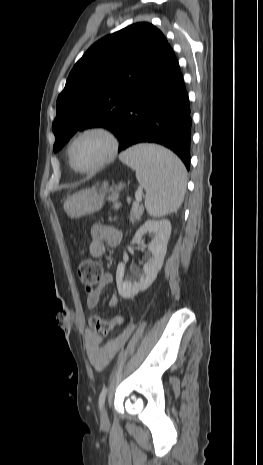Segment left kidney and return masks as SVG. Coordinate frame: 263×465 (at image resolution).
Instances as JSON below:
<instances>
[{"label":"left kidney","mask_w":263,"mask_h":465,"mask_svg":"<svg viewBox=\"0 0 263 465\" xmlns=\"http://www.w3.org/2000/svg\"><path fill=\"white\" fill-rule=\"evenodd\" d=\"M154 235L153 240L148 245L152 256L143 267V274L136 281H123L125 264L121 263L117 267L116 283L121 297L125 299L133 298L139 291L146 290L156 279L158 272L162 268L164 257L167 251L168 240L171 235V224L167 220H149L143 223L136 231L132 244L141 241L145 233Z\"/></svg>","instance_id":"left-kidney-1"}]
</instances>
